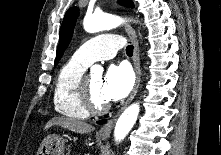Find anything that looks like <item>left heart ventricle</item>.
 I'll return each instance as SVG.
<instances>
[{
  "label": "left heart ventricle",
  "instance_id": "b2bd125f",
  "mask_svg": "<svg viewBox=\"0 0 221 155\" xmlns=\"http://www.w3.org/2000/svg\"><path fill=\"white\" fill-rule=\"evenodd\" d=\"M102 80V76L97 74L88 76V82L92 96L98 104H104L108 102L102 94Z\"/></svg>",
  "mask_w": 221,
  "mask_h": 155
}]
</instances>
